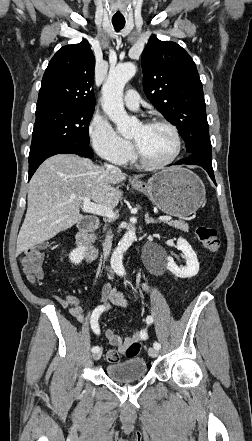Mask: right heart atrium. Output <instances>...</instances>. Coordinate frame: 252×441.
<instances>
[{"mask_svg":"<svg viewBox=\"0 0 252 441\" xmlns=\"http://www.w3.org/2000/svg\"><path fill=\"white\" fill-rule=\"evenodd\" d=\"M88 137L93 150L102 158L123 165L132 157L131 143L121 137L110 121L95 113L88 125Z\"/></svg>","mask_w":252,"mask_h":441,"instance_id":"d8ad5b80","label":"right heart atrium"}]
</instances>
